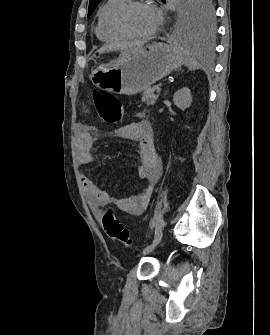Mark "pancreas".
Returning a JSON list of instances; mask_svg holds the SVG:
<instances>
[{
	"instance_id": "obj_1",
	"label": "pancreas",
	"mask_w": 270,
	"mask_h": 335,
	"mask_svg": "<svg viewBox=\"0 0 270 335\" xmlns=\"http://www.w3.org/2000/svg\"><path fill=\"white\" fill-rule=\"evenodd\" d=\"M157 87L159 86H153V88H149V90H144L142 94V102H146L147 106H153L155 104L158 94H155Z\"/></svg>"
}]
</instances>
